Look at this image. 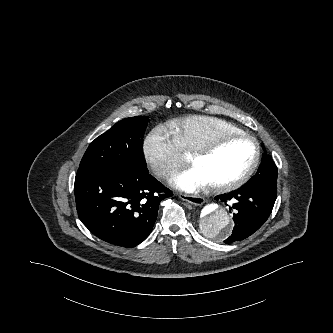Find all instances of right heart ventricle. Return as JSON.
<instances>
[{
    "label": "right heart ventricle",
    "instance_id": "e07e8e85",
    "mask_svg": "<svg viewBox=\"0 0 333 333\" xmlns=\"http://www.w3.org/2000/svg\"><path fill=\"white\" fill-rule=\"evenodd\" d=\"M242 132L227 121L204 115L187 116L169 123L170 135L180 151L187 155L219 134Z\"/></svg>",
    "mask_w": 333,
    "mask_h": 333
}]
</instances>
